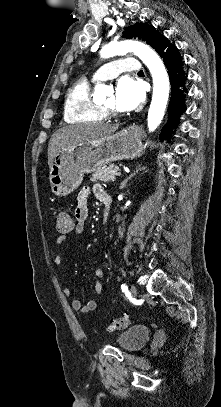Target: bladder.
<instances>
[{"mask_svg":"<svg viewBox=\"0 0 221 407\" xmlns=\"http://www.w3.org/2000/svg\"><path fill=\"white\" fill-rule=\"evenodd\" d=\"M150 338V327L137 324L126 328L117 334V340L121 348L128 352L142 349Z\"/></svg>","mask_w":221,"mask_h":407,"instance_id":"bladder-1","label":"bladder"}]
</instances>
